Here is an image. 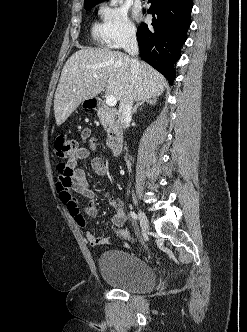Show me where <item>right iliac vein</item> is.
<instances>
[{
	"mask_svg": "<svg viewBox=\"0 0 247 332\" xmlns=\"http://www.w3.org/2000/svg\"><path fill=\"white\" fill-rule=\"evenodd\" d=\"M138 215L141 229L143 230V232L147 233L149 231V222L144 211L140 208H138Z\"/></svg>",
	"mask_w": 247,
	"mask_h": 332,
	"instance_id": "obj_1",
	"label": "right iliac vein"
}]
</instances>
